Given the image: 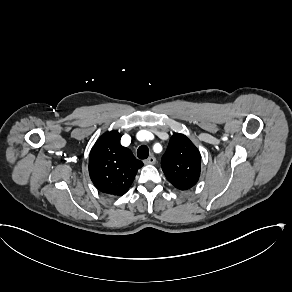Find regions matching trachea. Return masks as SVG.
<instances>
[{
	"label": "trachea",
	"mask_w": 292,
	"mask_h": 292,
	"mask_svg": "<svg viewBox=\"0 0 292 292\" xmlns=\"http://www.w3.org/2000/svg\"><path fill=\"white\" fill-rule=\"evenodd\" d=\"M137 156L139 159H142V160L147 159L149 156L148 147L145 145L140 146L137 150Z\"/></svg>",
	"instance_id": "trachea-1"
}]
</instances>
